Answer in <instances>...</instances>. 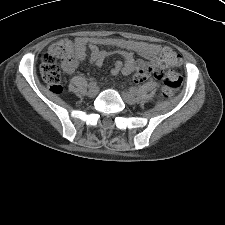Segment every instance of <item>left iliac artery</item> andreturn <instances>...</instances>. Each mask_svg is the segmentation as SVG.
<instances>
[{
	"mask_svg": "<svg viewBox=\"0 0 225 225\" xmlns=\"http://www.w3.org/2000/svg\"><path fill=\"white\" fill-rule=\"evenodd\" d=\"M130 91H131V93H133V94H136V93H137V89L134 88V87H132V88L130 89Z\"/></svg>",
	"mask_w": 225,
	"mask_h": 225,
	"instance_id": "1",
	"label": "left iliac artery"
}]
</instances>
